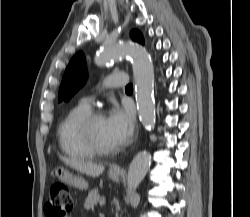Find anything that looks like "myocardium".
Returning a JSON list of instances; mask_svg holds the SVG:
<instances>
[{
	"label": "myocardium",
	"instance_id": "obj_1",
	"mask_svg": "<svg viewBox=\"0 0 250 217\" xmlns=\"http://www.w3.org/2000/svg\"><path fill=\"white\" fill-rule=\"evenodd\" d=\"M104 114L100 110L90 111L80 122L79 130L81 137L87 147L96 155H110L118 151V148H109L102 146L94 135L93 126L95 121L103 117Z\"/></svg>",
	"mask_w": 250,
	"mask_h": 217
}]
</instances>
